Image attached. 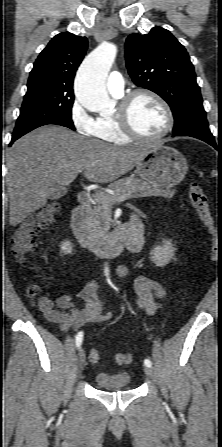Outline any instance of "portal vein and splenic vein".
Masks as SVG:
<instances>
[{
    "instance_id": "obj_1",
    "label": "portal vein and splenic vein",
    "mask_w": 222,
    "mask_h": 447,
    "mask_svg": "<svg viewBox=\"0 0 222 447\" xmlns=\"http://www.w3.org/2000/svg\"><path fill=\"white\" fill-rule=\"evenodd\" d=\"M130 198H132V196L130 194L125 193L123 195H119V196H117L115 198L109 199V201L113 202V203H116V202H123V201H125L127 199H130Z\"/></svg>"
}]
</instances>
